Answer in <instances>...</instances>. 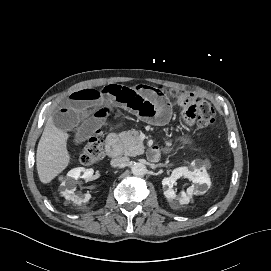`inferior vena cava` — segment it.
I'll list each match as a JSON object with an SVG mask.
<instances>
[{
	"instance_id": "inferior-vena-cava-1",
	"label": "inferior vena cava",
	"mask_w": 271,
	"mask_h": 271,
	"mask_svg": "<svg viewBox=\"0 0 271 271\" xmlns=\"http://www.w3.org/2000/svg\"><path fill=\"white\" fill-rule=\"evenodd\" d=\"M129 161L128 157H118L111 160V166L119 167L125 165Z\"/></svg>"
}]
</instances>
